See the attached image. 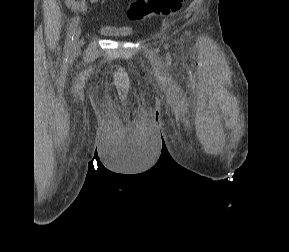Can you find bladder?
<instances>
[{"label": "bladder", "instance_id": "1", "mask_svg": "<svg viewBox=\"0 0 289 252\" xmlns=\"http://www.w3.org/2000/svg\"><path fill=\"white\" fill-rule=\"evenodd\" d=\"M100 32L105 36L114 38H125L132 34V30L129 28H117L113 26H103Z\"/></svg>", "mask_w": 289, "mask_h": 252}]
</instances>
